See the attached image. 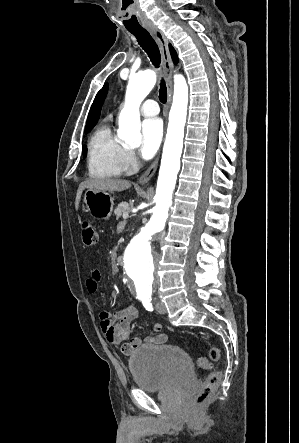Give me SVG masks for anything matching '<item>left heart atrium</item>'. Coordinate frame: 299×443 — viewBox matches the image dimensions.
I'll return each mask as SVG.
<instances>
[{
  "instance_id": "1",
  "label": "left heart atrium",
  "mask_w": 299,
  "mask_h": 443,
  "mask_svg": "<svg viewBox=\"0 0 299 443\" xmlns=\"http://www.w3.org/2000/svg\"><path fill=\"white\" fill-rule=\"evenodd\" d=\"M142 140L139 147L144 159L151 158L157 151L163 134V124L159 118H149L143 121L141 127Z\"/></svg>"
}]
</instances>
